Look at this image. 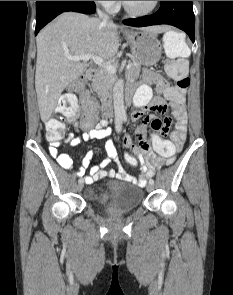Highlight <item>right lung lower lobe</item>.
Masks as SVG:
<instances>
[{
  "mask_svg": "<svg viewBox=\"0 0 233 295\" xmlns=\"http://www.w3.org/2000/svg\"><path fill=\"white\" fill-rule=\"evenodd\" d=\"M67 11L92 14L95 12V3L94 1H36L35 35L57 15Z\"/></svg>",
  "mask_w": 233,
  "mask_h": 295,
  "instance_id": "1",
  "label": "right lung lower lobe"
}]
</instances>
